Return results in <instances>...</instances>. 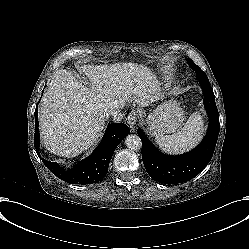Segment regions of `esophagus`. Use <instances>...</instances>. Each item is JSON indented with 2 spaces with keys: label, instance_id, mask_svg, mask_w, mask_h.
Here are the masks:
<instances>
[{
  "label": "esophagus",
  "instance_id": "34e87169",
  "mask_svg": "<svg viewBox=\"0 0 249 249\" xmlns=\"http://www.w3.org/2000/svg\"><path fill=\"white\" fill-rule=\"evenodd\" d=\"M139 121V113L137 111H131L127 118V123L132 131L135 130Z\"/></svg>",
  "mask_w": 249,
  "mask_h": 249
}]
</instances>
